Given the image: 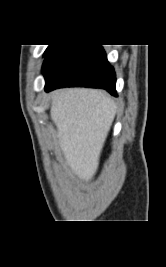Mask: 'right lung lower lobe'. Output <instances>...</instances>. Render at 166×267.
I'll use <instances>...</instances> for the list:
<instances>
[{"mask_svg":"<svg viewBox=\"0 0 166 267\" xmlns=\"http://www.w3.org/2000/svg\"><path fill=\"white\" fill-rule=\"evenodd\" d=\"M42 71L46 92L80 86L102 88L116 96V74L101 45H54Z\"/></svg>","mask_w":166,"mask_h":267,"instance_id":"98d812e1","label":"right lung lower lobe"}]
</instances>
